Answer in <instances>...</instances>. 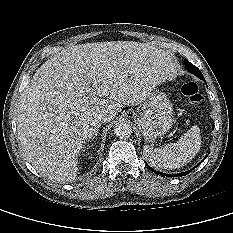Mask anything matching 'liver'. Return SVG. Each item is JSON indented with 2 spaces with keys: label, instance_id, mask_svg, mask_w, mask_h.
Returning <instances> with one entry per match:
<instances>
[{
  "label": "liver",
  "instance_id": "obj_1",
  "mask_svg": "<svg viewBox=\"0 0 233 233\" xmlns=\"http://www.w3.org/2000/svg\"><path fill=\"white\" fill-rule=\"evenodd\" d=\"M167 54L149 44H79L48 59L22 92L16 117L23 151L43 177L69 182L78 156L95 132L90 120H113L123 105L141 104L172 76Z\"/></svg>",
  "mask_w": 233,
  "mask_h": 233
}]
</instances>
